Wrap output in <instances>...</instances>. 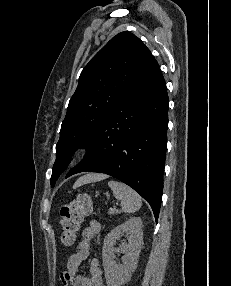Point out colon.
Here are the masks:
<instances>
[{
    "label": "colon",
    "mask_w": 231,
    "mask_h": 286,
    "mask_svg": "<svg viewBox=\"0 0 231 286\" xmlns=\"http://www.w3.org/2000/svg\"><path fill=\"white\" fill-rule=\"evenodd\" d=\"M91 197L82 193L60 210L61 240L64 245H73L84 217L93 212Z\"/></svg>",
    "instance_id": "obj_1"
}]
</instances>
